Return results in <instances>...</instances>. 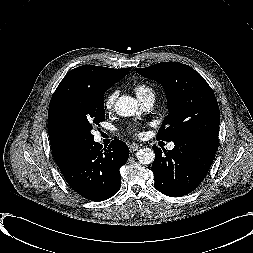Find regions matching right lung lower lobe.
Segmentation results:
<instances>
[{"mask_svg": "<svg viewBox=\"0 0 253 253\" xmlns=\"http://www.w3.org/2000/svg\"><path fill=\"white\" fill-rule=\"evenodd\" d=\"M129 148L115 139L108 149L95 141L81 149L73 163L62 172L69 186L82 197L104 201L120 189L119 169L126 164Z\"/></svg>", "mask_w": 253, "mask_h": 253, "instance_id": "98d812e1", "label": "right lung lower lobe"}]
</instances>
